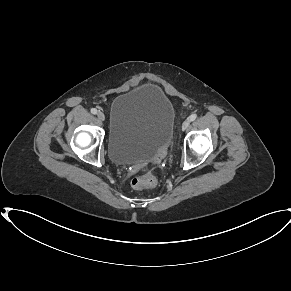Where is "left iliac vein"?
<instances>
[{
  "mask_svg": "<svg viewBox=\"0 0 291 291\" xmlns=\"http://www.w3.org/2000/svg\"><path fill=\"white\" fill-rule=\"evenodd\" d=\"M190 125V120L186 119L182 124V130H186Z\"/></svg>",
  "mask_w": 291,
  "mask_h": 291,
  "instance_id": "left-iliac-vein-1",
  "label": "left iliac vein"
}]
</instances>
